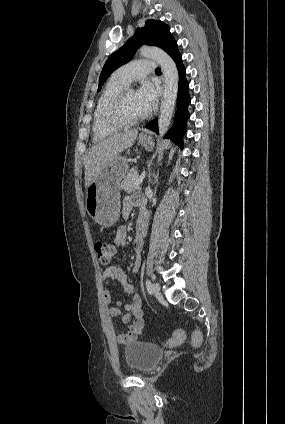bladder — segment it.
Masks as SVG:
<instances>
[{
    "label": "bladder",
    "mask_w": 285,
    "mask_h": 424,
    "mask_svg": "<svg viewBox=\"0 0 285 424\" xmlns=\"http://www.w3.org/2000/svg\"><path fill=\"white\" fill-rule=\"evenodd\" d=\"M123 355L128 368L137 373L154 370L163 358V350L142 341L128 343L123 348Z\"/></svg>",
    "instance_id": "31cf9c89"
}]
</instances>
